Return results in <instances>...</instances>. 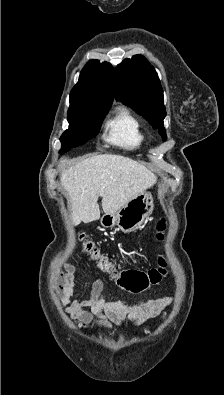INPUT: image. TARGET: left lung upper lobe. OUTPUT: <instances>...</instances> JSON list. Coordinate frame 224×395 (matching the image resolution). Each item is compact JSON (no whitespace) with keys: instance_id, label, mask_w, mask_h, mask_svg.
Wrapping results in <instances>:
<instances>
[{"instance_id":"5c2ea615","label":"left lung upper lobe","mask_w":224,"mask_h":395,"mask_svg":"<svg viewBox=\"0 0 224 395\" xmlns=\"http://www.w3.org/2000/svg\"><path fill=\"white\" fill-rule=\"evenodd\" d=\"M115 97L158 128L164 141L167 139L163 90L155 69L144 56L135 55L117 66Z\"/></svg>"}]
</instances>
